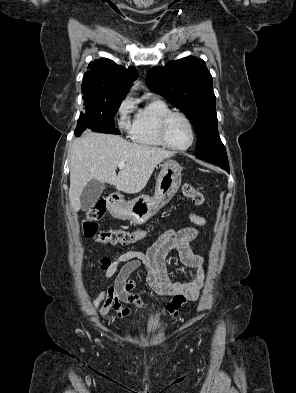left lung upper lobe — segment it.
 <instances>
[{"label":"left lung upper lobe","mask_w":296,"mask_h":393,"mask_svg":"<svg viewBox=\"0 0 296 393\" xmlns=\"http://www.w3.org/2000/svg\"><path fill=\"white\" fill-rule=\"evenodd\" d=\"M146 84L189 117L197 133V158L227 159L218 134L212 76L202 59L190 56L155 67Z\"/></svg>","instance_id":"1"}]
</instances>
